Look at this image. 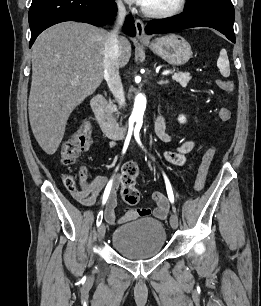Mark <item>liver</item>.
Segmentation results:
<instances>
[{"label": "liver", "mask_w": 261, "mask_h": 306, "mask_svg": "<svg viewBox=\"0 0 261 306\" xmlns=\"http://www.w3.org/2000/svg\"><path fill=\"white\" fill-rule=\"evenodd\" d=\"M108 35L86 23L63 22L36 39L28 110L34 137L46 154L57 151L70 114L100 86ZM130 57V42L119 38V66Z\"/></svg>", "instance_id": "liver-1"}]
</instances>
